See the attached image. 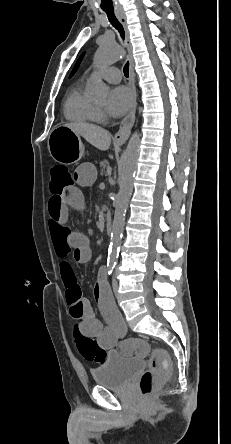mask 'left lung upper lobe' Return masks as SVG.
Instances as JSON below:
<instances>
[{"label":"left lung upper lobe","mask_w":231,"mask_h":444,"mask_svg":"<svg viewBox=\"0 0 231 444\" xmlns=\"http://www.w3.org/2000/svg\"><path fill=\"white\" fill-rule=\"evenodd\" d=\"M82 57H83V55L78 59V61H77V63H76V65L74 66V68H73V70H72V72H71V75H70V77L76 72V70L78 69V67H79V64H80V62H81V59H82Z\"/></svg>","instance_id":"obj_1"}]
</instances>
